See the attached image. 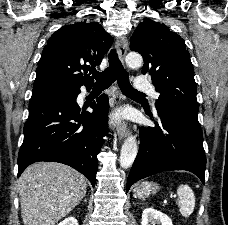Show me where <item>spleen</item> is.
<instances>
[{
  "label": "spleen",
  "mask_w": 228,
  "mask_h": 225,
  "mask_svg": "<svg viewBox=\"0 0 228 225\" xmlns=\"http://www.w3.org/2000/svg\"><path fill=\"white\" fill-rule=\"evenodd\" d=\"M178 207L182 217H190L195 207V195L189 185H180L177 189Z\"/></svg>",
  "instance_id": "3e777b00"
}]
</instances>
